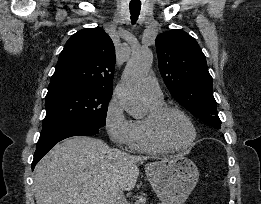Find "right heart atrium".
Returning a JSON list of instances; mask_svg holds the SVG:
<instances>
[{
	"instance_id": "obj_1",
	"label": "right heart atrium",
	"mask_w": 261,
	"mask_h": 204,
	"mask_svg": "<svg viewBox=\"0 0 261 204\" xmlns=\"http://www.w3.org/2000/svg\"><path fill=\"white\" fill-rule=\"evenodd\" d=\"M104 126L113 143L119 146H130L132 120L126 116L121 102L116 97H112L108 102L104 116Z\"/></svg>"
}]
</instances>
